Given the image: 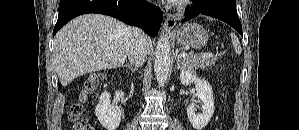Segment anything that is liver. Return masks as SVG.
Returning a JSON list of instances; mask_svg holds the SVG:
<instances>
[{"label": "liver", "instance_id": "obj_1", "mask_svg": "<svg viewBox=\"0 0 299 130\" xmlns=\"http://www.w3.org/2000/svg\"><path fill=\"white\" fill-rule=\"evenodd\" d=\"M130 27L101 14L79 16L54 38L53 64L62 86L87 73L113 69L126 61ZM145 35V49L151 51Z\"/></svg>", "mask_w": 299, "mask_h": 130}]
</instances>
